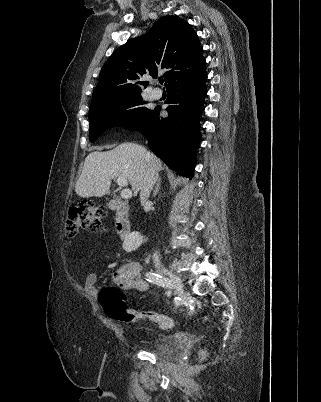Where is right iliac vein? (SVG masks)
Wrapping results in <instances>:
<instances>
[{"instance_id": "1", "label": "right iliac vein", "mask_w": 321, "mask_h": 402, "mask_svg": "<svg viewBox=\"0 0 321 402\" xmlns=\"http://www.w3.org/2000/svg\"><path fill=\"white\" fill-rule=\"evenodd\" d=\"M157 270H158V272L160 274H164V275H167L169 277L170 282H172L175 294L179 298L184 299L185 298V291H184L181 279L176 274L172 273L171 271L167 270L166 268L158 267Z\"/></svg>"}]
</instances>
